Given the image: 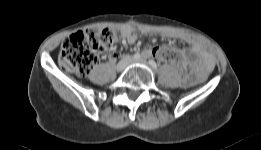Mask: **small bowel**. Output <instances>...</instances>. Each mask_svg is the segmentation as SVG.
<instances>
[{"instance_id": "small-bowel-1", "label": "small bowel", "mask_w": 261, "mask_h": 150, "mask_svg": "<svg viewBox=\"0 0 261 150\" xmlns=\"http://www.w3.org/2000/svg\"><path fill=\"white\" fill-rule=\"evenodd\" d=\"M142 34H150V30L142 29L139 31ZM138 31L135 29H127L124 34V44H134L138 40ZM184 41L190 45L192 54L196 57L194 62V78L201 77L210 71L214 66V60L205 46L196 38L192 36H185ZM143 57L149 58L152 56L151 49H145L142 52ZM115 58V54L112 55V59Z\"/></svg>"}]
</instances>
